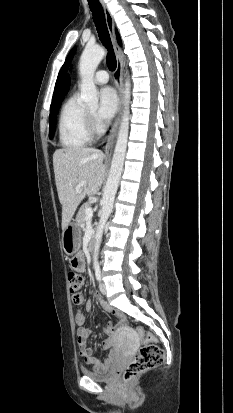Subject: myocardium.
I'll return each instance as SVG.
<instances>
[{
	"label": "myocardium",
	"instance_id": "f54148a6",
	"mask_svg": "<svg viewBox=\"0 0 233 413\" xmlns=\"http://www.w3.org/2000/svg\"><path fill=\"white\" fill-rule=\"evenodd\" d=\"M86 116H87V129H88V132H89L91 138L99 135L100 130H99L98 126L95 123L94 114L91 113L89 110H87L86 111Z\"/></svg>",
	"mask_w": 233,
	"mask_h": 413
}]
</instances>
